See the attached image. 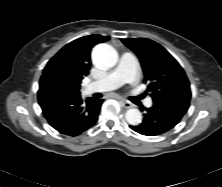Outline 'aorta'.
<instances>
[{
    "mask_svg": "<svg viewBox=\"0 0 222 187\" xmlns=\"http://www.w3.org/2000/svg\"><path fill=\"white\" fill-rule=\"evenodd\" d=\"M92 58L96 65L101 68H112L118 62V53L114 47L109 44L101 43L94 47ZM126 121L133 126L142 122V114L139 109L132 108L125 113Z\"/></svg>",
    "mask_w": 222,
    "mask_h": 187,
    "instance_id": "aorta-1",
    "label": "aorta"
}]
</instances>
